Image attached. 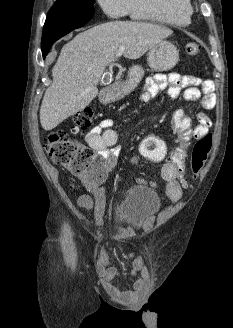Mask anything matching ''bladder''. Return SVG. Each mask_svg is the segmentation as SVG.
Wrapping results in <instances>:
<instances>
[{
    "mask_svg": "<svg viewBox=\"0 0 233 328\" xmlns=\"http://www.w3.org/2000/svg\"><path fill=\"white\" fill-rule=\"evenodd\" d=\"M161 208L159 194L146 186H131L119 198L118 219L128 225L139 226L155 216Z\"/></svg>",
    "mask_w": 233,
    "mask_h": 328,
    "instance_id": "31cf9c89",
    "label": "bladder"
}]
</instances>
